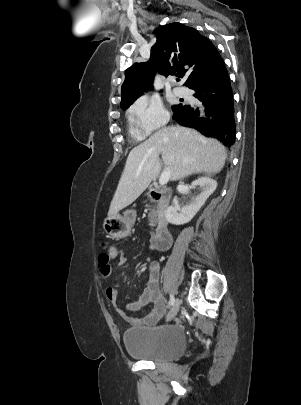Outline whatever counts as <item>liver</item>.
<instances>
[{
    "label": "liver",
    "mask_w": 301,
    "mask_h": 405,
    "mask_svg": "<svg viewBox=\"0 0 301 405\" xmlns=\"http://www.w3.org/2000/svg\"><path fill=\"white\" fill-rule=\"evenodd\" d=\"M226 158L225 147L216 139L181 126L162 128L130 151L108 216L132 204L158 177L162 165L170 170V180L177 181L195 173H219Z\"/></svg>",
    "instance_id": "1"
}]
</instances>
